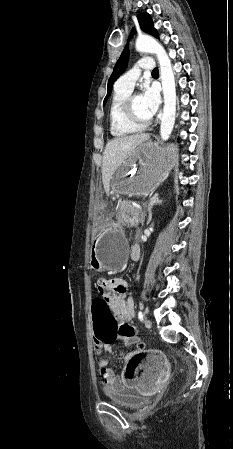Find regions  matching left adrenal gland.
<instances>
[{
  "mask_svg": "<svg viewBox=\"0 0 233 449\" xmlns=\"http://www.w3.org/2000/svg\"><path fill=\"white\" fill-rule=\"evenodd\" d=\"M161 203H162V200L159 199V195H158V194H154V195L150 198V200H149V202H148V205L146 206V207H147V211H148V220H147V224H149L150 221H151V219H152V208H153V206L159 205V204H161Z\"/></svg>",
  "mask_w": 233,
  "mask_h": 449,
  "instance_id": "left-adrenal-gland-1",
  "label": "left adrenal gland"
}]
</instances>
